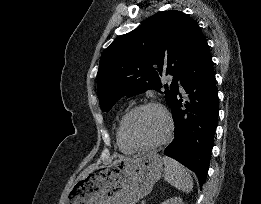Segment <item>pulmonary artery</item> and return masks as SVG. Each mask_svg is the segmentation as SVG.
I'll use <instances>...</instances> for the list:
<instances>
[{
    "mask_svg": "<svg viewBox=\"0 0 261 204\" xmlns=\"http://www.w3.org/2000/svg\"><path fill=\"white\" fill-rule=\"evenodd\" d=\"M179 89H180V91H183V88H182L180 82H179Z\"/></svg>",
    "mask_w": 261,
    "mask_h": 204,
    "instance_id": "1",
    "label": "pulmonary artery"
}]
</instances>
